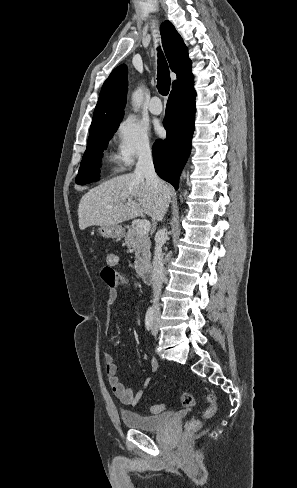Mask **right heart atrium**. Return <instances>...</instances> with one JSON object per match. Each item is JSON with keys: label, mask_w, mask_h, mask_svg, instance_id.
<instances>
[{"label": "right heart atrium", "mask_w": 297, "mask_h": 488, "mask_svg": "<svg viewBox=\"0 0 297 488\" xmlns=\"http://www.w3.org/2000/svg\"><path fill=\"white\" fill-rule=\"evenodd\" d=\"M115 136L117 158L123 166H130L135 160L148 157L153 152L147 129L132 117L119 122Z\"/></svg>", "instance_id": "1"}]
</instances>
